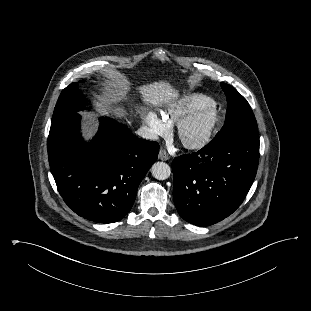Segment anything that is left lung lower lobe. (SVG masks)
Returning a JSON list of instances; mask_svg holds the SVG:
<instances>
[{
  "mask_svg": "<svg viewBox=\"0 0 311 311\" xmlns=\"http://www.w3.org/2000/svg\"><path fill=\"white\" fill-rule=\"evenodd\" d=\"M259 136L235 133L198 152L176 157L173 199L180 216L197 226L215 224L245 199L256 176Z\"/></svg>",
  "mask_w": 311,
  "mask_h": 311,
  "instance_id": "0a47b994",
  "label": "left lung lower lobe"
}]
</instances>
